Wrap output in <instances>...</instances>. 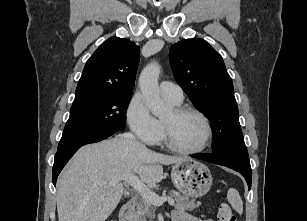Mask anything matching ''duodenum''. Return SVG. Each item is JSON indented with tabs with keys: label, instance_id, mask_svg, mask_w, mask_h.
<instances>
[{
	"label": "duodenum",
	"instance_id": "duodenum-1",
	"mask_svg": "<svg viewBox=\"0 0 307 221\" xmlns=\"http://www.w3.org/2000/svg\"><path fill=\"white\" fill-rule=\"evenodd\" d=\"M136 204L137 199L134 197L127 200L120 209L118 221H131L132 213Z\"/></svg>",
	"mask_w": 307,
	"mask_h": 221
}]
</instances>
